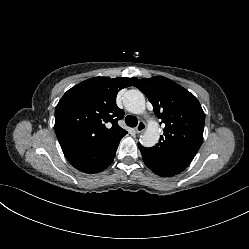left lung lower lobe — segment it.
Segmentation results:
<instances>
[{
  "label": "left lung lower lobe",
  "mask_w": 249,
  "mask_h": 249,
  "mask_svg": "<svg viewBox=\"0 0 249 249\" xmlns=\"http://www.w3.org/2000/svg\"><path fill=\"white\" fill-rule=\"evenodd\" d=\"M142 158L146 166L155 174L169 177L179 174L189 166V162L174 160L151 154L138 144Z\"/></svg>",
  "instance_id": "0a47b994"
}]
</instances>
